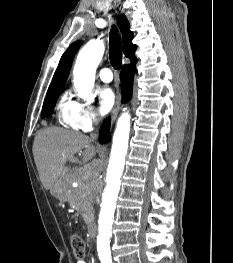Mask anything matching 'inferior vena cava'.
I'll list each match as a JSON object with an SVG mask.
<instances>
[{
    "label": "inferior vena cava",
    "mask_w": 233,
    "mask_h": 263,
    "mask_svg": "<svg viewBox=\"0 0 233 263\" xmlns=\"http://www.w3.org/2000/svg\"><path fill=\"white\" fill-rule=\"evenodd\" d=\"M93 122H94L95 124H97V123H98V119L95 118V119L93 120Z\"/></svg>",
    "instance_id": "602c4592"
}]
</instances>
